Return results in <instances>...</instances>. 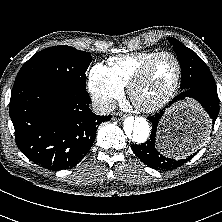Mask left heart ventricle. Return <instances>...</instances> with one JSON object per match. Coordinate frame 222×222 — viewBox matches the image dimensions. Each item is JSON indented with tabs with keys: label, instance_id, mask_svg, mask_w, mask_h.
<instances>
[{
	"label": "left heart ventricle",
	"instance_id": "obj_1",
	"mask_svg": "<svg viewBox=\"0 0 222 222\" xmlns=\"http://www.w3.org/2000/svg\"><path fill=\"white\" fill-rule=\"evenodd\" d=\"M176 71L177 67L172 58L162 57L158 59L137 89V100L143 104H150L158 100L174 82Z\"/></svg>",
	"mask_w": 222,
	"mask_h": 222
}]
</instances>
